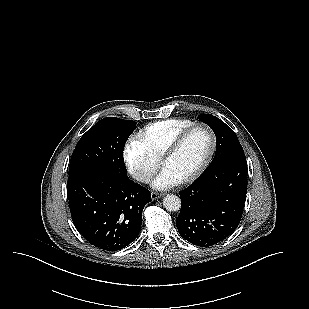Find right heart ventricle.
<instances>
[{
    "mask_svg": "<svg viewBox=\"0 0 309 309\" xmlns=\"http://www.w3.org/2000/svg\"><path fill=\"white\" fill-rule=\"evenodd\" d=\"M194 122L188 119H167L145 126L136 135L140 143L151 155L160 159L171 141Z\"/></svg>",
    "mask_w": 309,
    "mask_h": 309,
    "instance_id": "obj_1",
    "label": "right heart ventricle"
}]
</instances>
